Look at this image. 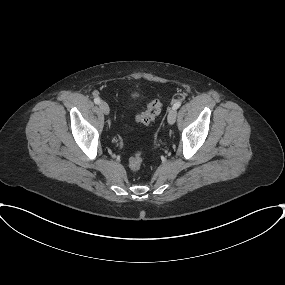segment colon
Wrapping results in <instances>:
<instances>
[{"mask_svg":"<svg viewBox=\"0 0 285 285\" xmlns=\"http://www.w3.org/2000/svg\"><path fill=\"white\" fill-rule=\"evenodd\" d=\"M162 99L160 97L153 99L147 106V109L139 114L136 119L142 124H150L161 112L162 109ZM143 162V156L140 152L133 154L128 161L129 168L132 171L140 170Z\"/></svg>","mask_w":285,"mask_h":285,"instance_id":"obj_1","label":"colon"}]
</instances>
